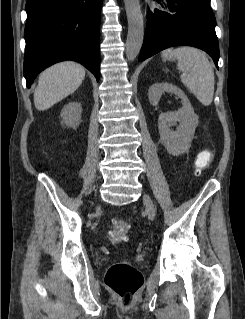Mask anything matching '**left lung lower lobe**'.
<instances>
[{
	"mask_svg": "<svg viewBox=\"0 0 245 319\" xmlns=\"http://www.w3.org/2000/svg\"><path fill=\"white\" fill-rule=\"evenodd\" d=\"M163 9L147 14V26L139 60L179 45L207 52L218 68L219 45L216 19L210 3L202 0H156Z\"/></svg>",
	"mask_w": 245,
	"mask_h": 319,
	"instance_id": "1",
	"label": "left lung lower lobe"
}]
</instances>
